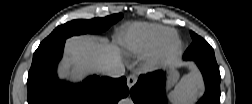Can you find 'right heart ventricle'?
<instances>
[{
	"mask_svg": "<svg viewBox=\"0 0 252 104\" xmlns=\"http://www.w3.org/2000/svg\"><path fill=\"white\" fill-rule=\"evenodd\" d=\"M175 30L156 24H137L123 39L124 50L131 55H142L156 50L175 39Z\"/></svg>",
	"mask_w": 252,
	"mask_h": 104,
	"instance_id": "right-heart-ventricle-1",
	"label": "right heart ventricle"
}]
</instances>
